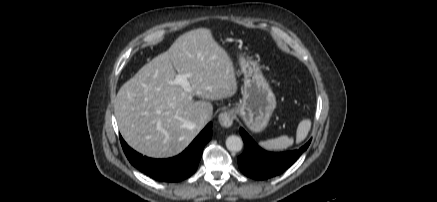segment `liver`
I'll return each instance as SVG.
<instances>
[{
  "label": "liver",
  "instance_id": "1",
  "mask_svg": "<svg viewBox=\"0 0 437 202\" xmlns=\"http://www.w3.org/2000/svg\"><path fill=\"white\" fill-rule=\"evenodd\" d=\"M176 72L188 76L191 91L173 83ZM236 91L230 56L211 30L199 28L179 36L168 51L124 83L114 111L129 146L149 157L167 158L182 152L203 129L201 114L211 118L209 100L228 98Z\"/></svg>",
  "mask_w": 437,
  "mask_h": 202
}]
</instances>
